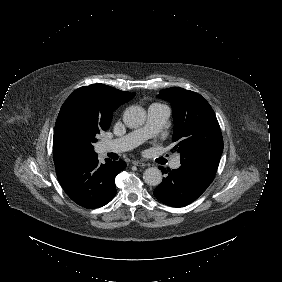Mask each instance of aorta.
Listing matches in <instances>:
<instances>
[{"label": "aorta", "mask_w": 282, "mask_h": 282, "mask_svg": "<svg viewBox=\"0 0 282 282\" xmlns=\"http://www.w3.org/2000/svg\"><path fill=\"white\" fill-rule=\"evenodd\" d=\"M124 123L131 128H137L145 124L147 120L146 109L139 105H132L126 109L123 115ZM143 179L150 186H158L162 183V172L157 167H150L145 170Z\"/></svg>", "instance_id": "762f6f07"}]
</instances>
